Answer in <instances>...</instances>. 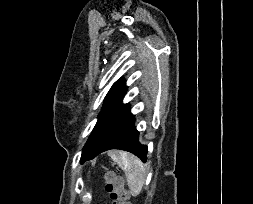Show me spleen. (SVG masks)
Segmentation results:
<instances>
[{
    "instance_id": "3e777b00",
    "label": "spleen",
    "mask_w": 253,
    "mask_h": 204,
    "mask_svg": "<svg viewBox=\"0 0 253 204\" xmlns=\"http://www.w3.org/2000/svg\"><path fill=\"white\" fill-rule=\"evenodd\" d=\"M109 156L124 171L128 187L133 196L139 195L146 180V168L142 161L129 153L110 152Z\"/></svg>"
}]
</instances>
